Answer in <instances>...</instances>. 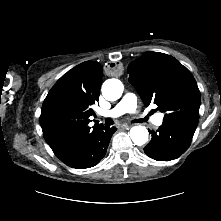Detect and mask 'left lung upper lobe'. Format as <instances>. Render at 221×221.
<instances>
[{
	"mask_svg": "<svg viewBox=\"0 0 221 221\" xmlns=\"http://www.w3.org/2000/svg\"><path fill=\"white\" fill-rule=\"evenodd\" d=\"M129 82L144 104L165 112L163 121H199L200 91L190 73L172 56L146 52L127 69Z\"/></svg>",
	"mask_w": 221,
	"mask_h": 221,
	"instance_id": "5c2ea615",
	"label": "left lung upper lobe"
}]
</instances>
